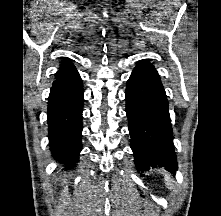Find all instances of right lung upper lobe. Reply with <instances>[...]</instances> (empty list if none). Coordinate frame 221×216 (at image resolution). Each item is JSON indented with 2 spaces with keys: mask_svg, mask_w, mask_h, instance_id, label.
Listing matches in <instances>:
<instances>
[{
  "mask_svg": "<svg viewBox=\"0 0 221 216\" xmlns=\"http://www.w3.org/2000/svg\"><path fill=\"white\" fill-rule=\"evenodd\" d=\"M73 70H76L74 65L72 64L71 60L69 58H63V61L60 64V68L56 74V77L66 74L68 72H71Z\"/></svg>",
  "mask_w": 221,
  "mask_h": 216,
  "instance_id": "obj_1",
  "label": "right lung upper lobe"
}]
</instances>
